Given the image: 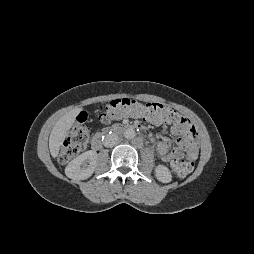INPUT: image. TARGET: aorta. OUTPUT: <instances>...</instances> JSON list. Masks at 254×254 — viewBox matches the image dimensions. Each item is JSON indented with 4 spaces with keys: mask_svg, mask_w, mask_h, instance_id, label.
<instances>
[{
    "mask_svg": "<svg viewBox=\"0 0 254 254\" xmlns=\"http://www.w3.org/2000/svg\"><path fill=\"white\" fill-rule=\"evenodd\" d=\"M124 137L126 139H133L135 137V131L132 128H128L124 132Z\"/></svg>",
    "mask_w": 254,
    "mask_h": 254,
    "instance_id": "aorta-1",
    "label": "aorta"
}]
</instances>
